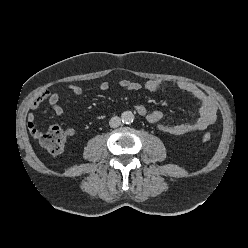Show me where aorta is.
<instances>
[{"label":"aorta","mask_w":248,"mask_h":248,"mask_svg":"<svg viewBox=\"0 0 248 248\" xmlns=\"http://www.w3.org/2000/svg\"><path fill=\"white\" fill-rule=\"evenodd\" d=\"M121 119L123 123L130 124L134 120V115L131 111H125L121 114Z\"/></svg>","instance_id":"obj_1"}]
</instances>
